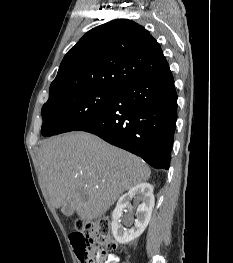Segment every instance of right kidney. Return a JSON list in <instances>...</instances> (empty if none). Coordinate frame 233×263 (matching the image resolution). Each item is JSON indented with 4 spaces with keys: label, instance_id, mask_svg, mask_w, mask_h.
Masks as SVG:
<instances>
[{
    "label": "right kidney",
    "instance_id": "ca27d5eb",
    "mask_svg": "<svg viewBox=\"0 0 233 263\" xmlns=\"http://www.w3.org/2000/svg\"><path fill=\"white\" fill-rule=\"evenodd\" d=\"M132 198H135V201L140 204L136 211L135 226L127 229L120 224V218L123 210L131 206ZM154 203L153 186L146 182L134 186L120 197L112 213V233L117 242L127 244L144 232L150 221Z\"/></svg>",
    "mask_w": 233,
    "mask_h": 263
}]
</instances>
